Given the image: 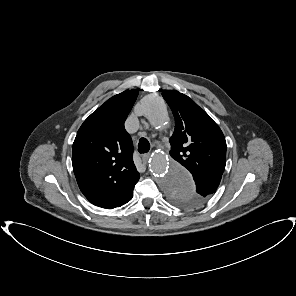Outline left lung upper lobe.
<instances>
[{
  "mask_svg": "<svg viewBox=\"0 0 296 296\" xmlns=\"http://www.w3.org/2000/svg\"><path fill=\"white\" fill-rule=\"evenodd\" d=\"M163 98L175 118L170 138V155L190 171L196 191H172L171 202L195 207L207 201L216 191L226 165V141L219 126L191 98L166 90Z\"/></svg>",
  "mask_w": 296,
  "mask_h": 296,
  "instance_id": "obj_1",
  "label": "left lung upper lobe"
}]
</instances>
